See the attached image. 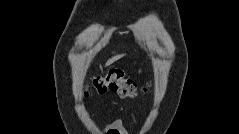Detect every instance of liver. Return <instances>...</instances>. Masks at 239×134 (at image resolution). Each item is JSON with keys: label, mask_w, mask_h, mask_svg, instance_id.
<instances>
[{"label": "liver", "mask_w": 239, "mask_h": 134, "mask_svg": "<svg viewBox=\"0 0 239 134\" xmlns=\"http://www.w3.org/2000/svg\"><path fill=\"white\" fill-rule=\"evenodd\" d=\"M123 55H116L114 57H112L111 59H109L107 62H106V66L112 64L113 62H115L116 60H118L119 58H121Z\"/></svg>", "instance_id": "1"}]
</instances>
